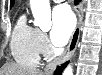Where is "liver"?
<instances>
[{
  "label": "liver",
  "instance_id": "liver-1",
  "mask_svg": "<svg viewBox=\"0 0 102 75\" xmlns=\"http://www.w3.org/2000/svg\"><path fill=\"white\" fill-rule=\"evenodd\" d=\"M0 75H45L39 69L26 68L15 63H6L0 68Z\"/></svg>",
  "mask_w": 102,
  "mask_h": 75
}]
</instances>
